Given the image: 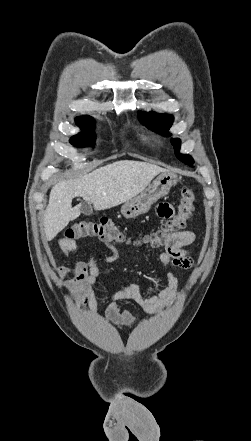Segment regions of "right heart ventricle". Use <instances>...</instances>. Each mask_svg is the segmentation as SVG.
I'll return each instance as SVG.
<instances>
[{
  "mask_svg": "<svg viewBox=\"0 0 251 441\" xmlns=\"http://www.w3.org/2000/svg\"><path fill=\"white\" fill-rule=\"evenodd\" d=\"M140 136H141V138H142L143 140H148V139H149V138H148L147 136H145L144 134H141Z\"/></svg>",
  "mask_w": 251,
  "mask_h": 441,
  "instance_id": "1",
  "label": "right heart ventricle"
}]
</instances>
